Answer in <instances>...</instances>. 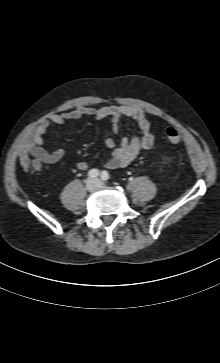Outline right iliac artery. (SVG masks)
Wrapping results in <instances>:
<instances>
[{"label": "right iliac artery", "mask_w": 220, "mask_h": 363, "mask_svg": "<svg viewBox=\"0 0 220 363\" xmlns=\"http://www.w3.org/2000/svg\"><path fill=\"white\" fill-rule=\"evenodd\" d=\"M100 172L99 170L97 169H91L89 172H88V176L89 177H92V178H95L97 176H99Z\"/></svg>", "instance_id": "1"}]
</instances>
